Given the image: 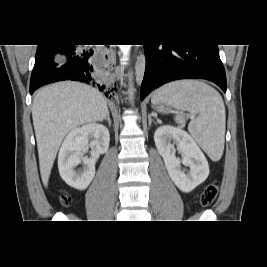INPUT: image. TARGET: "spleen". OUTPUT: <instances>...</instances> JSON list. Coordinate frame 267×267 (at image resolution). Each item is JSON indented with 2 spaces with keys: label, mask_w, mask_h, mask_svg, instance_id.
<instances>
[{
  "label": "spleen",
  "mask_w": 267,
  "mask_h": 267,
  "mask_svg": "<svg viewBox=\"0 0 267 267\" xmlns=\"http://www.w3.org/2000/svg\"><path fill=\"white\" fill-rule=\"evenodd\" d=\"M158 102L198 115L189 123L188 130L211 160H220L224 151L226 116L218 91L199 80H180L156 90L152 103ZM175 121L182 125L186 118L178 114Z\"/></svg>",
  "instance_id": "1"
}]
</instances>
